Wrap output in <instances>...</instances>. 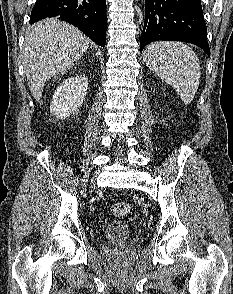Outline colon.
Here are the masks:
<instances>
[{
	"label": "colon",
	"instance_id": "obj_1",
	"mask_svg": "<svg viewBox=\"0 0 233 294\" xmlns=\"http://www.w3.org/2000/svg\"><path fill=\"white\" fill-rule=\"evenodd\" d=\"M130 211V206L127 203L119 202L111 206V213L116 217L124 216Z\"/></svg>",
	"mask_w": 233,
	"mask_h": 294
}]
</instances>
